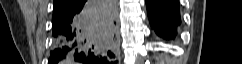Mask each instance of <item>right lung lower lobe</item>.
<instances>
[{
	"mask_svg": "<svg viewBox=\"0 0 242 64\" xmlns=\"http://www.w3.org/2000/svg\"><path fill=\"white\" fill-rule=\"evenodd\" d=\"M116 17V0H74L70 7L54 12L48 64H115Z\"/></svg>",
	"mask_w": 242,
	"mask_h": 64,
	"instance_id": "98d812e1",
	"label": "right lung lower lobe"
}]
</instances>
